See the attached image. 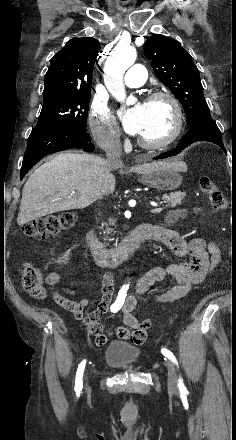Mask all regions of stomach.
<instances>
[{
	"instance_id": "obj_1",
	"label": "stomach",
	"mask_w": 236,
	"mask_h": 440,
	"mask_svg": "<svg viewBox=\"0 0 236 440\" xmlns=\"http://www.w3.org/2000/svg\"><path fill=\"white\" fill-rule=\"evenodd\" d=\"M186 170V165L180 163L177 167H163L143 174L139 181L150 187L158 190L168 191L178 188L182 183L181 172Z\"/></svg>"
}]
</instances>
